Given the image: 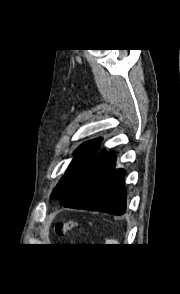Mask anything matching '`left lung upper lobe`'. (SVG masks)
I'll use <instances>...</instances> for the list:
<instances>
[{"instance_id":"left-lung-upper-lobe-1","label":"left lung upper lobe","mask_w":180,"mask_h":294,"mask_svg":"<svg viewBox=\"0 0 180 294\" xmlns=\"http://www.w3.org/2000/svg\"><path fill=\"white\" fill-rule=\"evenodd\" d=\"M100 141L101 139H94L85 142L74 152V159L50 195L52 199L62 200L67 195L74 181L96 156Z\"/></svg>"}]
</instances>
